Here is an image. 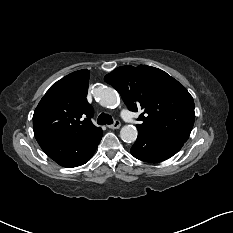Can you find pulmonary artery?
<instances>
[{
  "label": "pulmonary artery",
  "mask_w": 233,
  "mask_h": 233,
  "mask_svg": "<svg viewBox=\"0 0 233 233\" xmlns=\"http://www.w3.org/2000/svg\"><path fill=\"white\" fill-rule=\"evenodd\" d=\"M122 116L126 121L133 122V120L131 119L130 114L127 110L122 111Z\"/></svg>",
  "instance_id": "pulmonary-artery-1"
}]
</instances>
